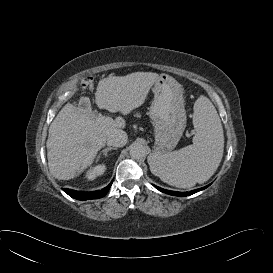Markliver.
<instances>
[{
    "label": "liver",
    "mask_w": 273,
    "mask_h": 273,
    "mask_svg": "<svg viewBox=\"0 0 273 273\" xmlns=\"http://www.w3.org/2000/svg\"><path fill=\"white\" fill-rule=\"evenodd\" d=\"M159 75L135 72L126 76H109L99 81L95 103L100 109L129 114L146 100ZM121 117L94 115L90 105L75 107L68 103L52 121L46 142L48 166L59 180H70L91 166L107 136L123 128Z\"/></svg>",
    "instance_id": "obj_1"
}]
</instances>
